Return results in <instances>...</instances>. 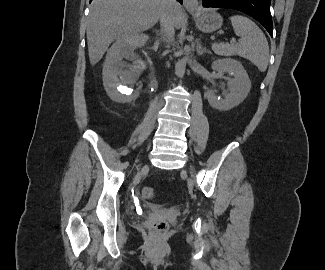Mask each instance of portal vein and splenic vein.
Masks as SVG:
<instances>
[{
	"instance_id": "portal-vein-and-splenic-vein-1",
	"label": "portal vein and splenic vein",
	"mask_w": 325,
	"mask_h": 270,
	"mask_svg": "<svg viewBox=\"0 0 325 270\" xmlns=\"http://www.w3.org/2000/svg\"><path fill=\"white\" fill-rule=\"evenodd\" d=\"M231 43H233V44L236 43V40L235 39H232L231 40Z\"/></svg>"
}]
</instances>
